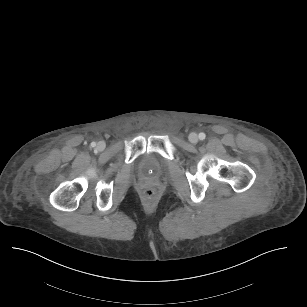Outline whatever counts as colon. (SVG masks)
<instances>
[{
	"label": "colon",
	"mask_w": 307,
	"mask_h": 307,
	"mask_svg": "<svg viewBox=\"0 0 307 307\" xmlns=\"http://www.w3.org/2000/svg\"><path fill=\"white\" fill-rule=\"evenodd\" d=\"M141 196L145 200H153L157 196V189L153 185H145L141 189Z\"/></svg>",
	"instance_id": "1"
}]
</instances>
